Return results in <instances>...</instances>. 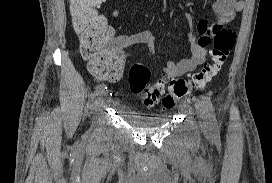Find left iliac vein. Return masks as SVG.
Wrapping results in <instances>:
<instances>
[{"instance_id": "left-iliac-vein-1", "label": "left iliac vein", "mask_w": 272, "mask_h": 183, "mask_svg": "<svg viewBox=\"0 0 272 183\" xmlns=\"http://www.w3.org/2000/svg\"><path fill=\"white\" fill-rule=\"evenodd\" d=\"M198 118L200 119V126L203 131H209L210 126L208 122V113L203 101L198 100L195 104Z\"/></svg>"}]
</instances>
